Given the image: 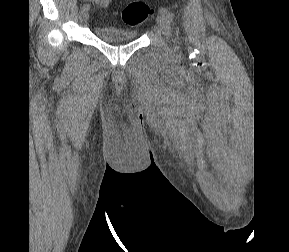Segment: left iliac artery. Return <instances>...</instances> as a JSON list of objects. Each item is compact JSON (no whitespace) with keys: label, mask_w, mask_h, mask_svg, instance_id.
<instances>
[{"label":"left iliac artery","mask_w":289,"mask_h":252,"mask_svg":"<svg viewBox=\"0 0 289 252\" xmlns=\"http://www.w3.org/2000/svg\"><path fill=\"white\" fill-rule=\"evenodd\" d=\"M160 13L165 15L166 18L168 19L169 23H172L173 22V13L170 12L167 8H164V7H161L160 9Z\"/></svg>","instance_id":"obj_1"}]
</instances>
